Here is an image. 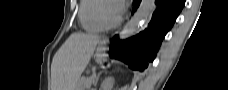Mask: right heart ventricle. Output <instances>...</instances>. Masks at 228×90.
<instances>
[{
  "mask_svg": "<svg viewBox=\"0 0 228 90\" xmlns=\"http://www.w3.org/2000/svg\"><path fill=\"white\" fill-rule=\"evenodd\" d=\"M102 0H82L79 6L78 17L81 26L87 32H101L105 28L96 17L97 7Z\"/></svg>",
  "mask_w": 228,
  "mask_h": 90,
  "instance_id": "obj_1",
  "label": "right heart ventricle"
}]
</instances>
